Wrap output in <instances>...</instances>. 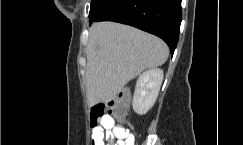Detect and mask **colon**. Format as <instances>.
<instances>
[{"mask_svg": "<svg viewBox=\"0 0 243 145\" xmlns=\"http://www.w3.org/2000/svg\"><path fill=\"white\" fill-rule=\"evenodd\" d=\"M129 95L121 92L112 102L108 104H96L91 110V124L93 127L105 116L121 119L127 112Z\"/></svg>", "mask_w": 243, "mask_h": 145, "instance_id": "obj_1", "label": "colon"}]
</instances>
